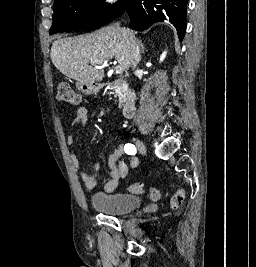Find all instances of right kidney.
Segmentation results:
<instances>
[{
  "instance_id": "ca27d5eb",
  "label": "right kidney",
  "mask_w": 256,
  "mask_h": 267,
  "mask_svg": "<svg viewBox=\"0 0 256 267\" xmlns=\"http://www.w3.org/2000/svg\"><path fill=\"white\" fill-rule=\"evenodd\" d=\"M166 54H167V52H163V54H161V56H160V62H163V60H165Z\"/></svg>"
}]
</instances>
